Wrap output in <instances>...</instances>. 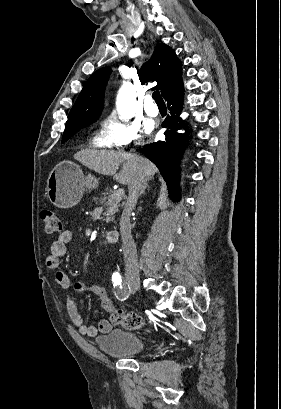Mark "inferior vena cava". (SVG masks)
Instances as JSON below:
<instances>
[{
  "mask_svg": "<svg viewBox=\"0 0 281 409\" xmlns=\"http://www.w3.org/2000/svg\"><path fill=\"white\" fill-rule=\"evenodd\" d=\"M133 162L134 176L131 180V184L128 186L129 200H136L139 190H141V186L145 180L142 160H140V158H136V160H133ZM130 213L131 209H127L120 219V233L123 243L125 271L128 283H132V281H139L140 279L136 245L131 235Z\"/></svg>",
  "mask_w": 281,
  "mask_h": 409,
  "instance_id": "obj_1",
  "label": "inferior vena cava"
}]
</instances>
